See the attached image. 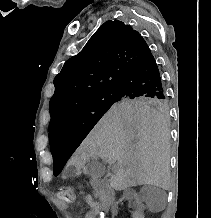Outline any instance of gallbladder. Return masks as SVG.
I'll list each match as a JSON object with an SVG mask.
<instances>
[{
    "mask_svg": "<svg viewBox=\"0 0 211 218\" xmlns=\"http://www.w3.org/2000/svg\"><path fill=\"white\" fill-rule=\"evenodd\" d=\"M86 174H89L92 178H102L105 174V166L102 162H99L98 158H91L87 162Z\"/></svg>",
    "mask_w": 211,
    "mask_h": 218,
    "instance_id": "bac80fb5",
    "label": "gallbladder"
}]
</instances>
